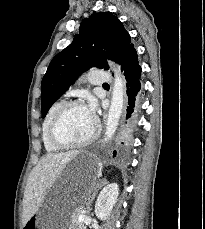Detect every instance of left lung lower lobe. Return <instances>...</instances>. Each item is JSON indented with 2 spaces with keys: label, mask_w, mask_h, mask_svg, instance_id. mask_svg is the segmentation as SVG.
<instances>
[{
  "label": "left lung lower lobe",
  "mask_w": 205,
  "mask_h": 229,
  "mask_svg": "<svg viewBox=\"0 0 205 229\" xmlns=\"http://www.w3.org/2000/svg\"><path fill=\"white\" fill-rule=\"evenodd\" d=\"M118 63L121 65L127 81L128 106L126 109V122L123 128V138L120 143V152L125 153L132 143L141 104V67L138 64L137 52L133 44H130L122 52ZM115 155L116 152H114Z\"/></svg>",
  "instance_id": "left-lung-lower-lobe-1"
}]
</instances>
